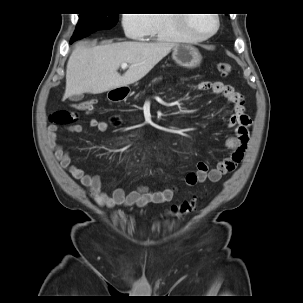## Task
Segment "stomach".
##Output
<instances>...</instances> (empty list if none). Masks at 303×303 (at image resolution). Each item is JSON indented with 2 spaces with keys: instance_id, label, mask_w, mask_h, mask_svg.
Wrapping results in <instances>:
<instances>
[{
  "instance_id": "obj_1",
  "label": "stomach",
  "mask_w": 303,
  "mask_h": 303,
  "mask_svg": "<svg viewBox=\"0 0 303 303\" xmlns=\"http://www.w3.org/2000/svg\"><path fill=\"white\" fill-rule=\"evenodd\" d=\"M172 58L178 65L186 68L197 67L202 60V56L198 49L186 44L176 45L173 48Z\"/></svg>"
}]
</instances>
